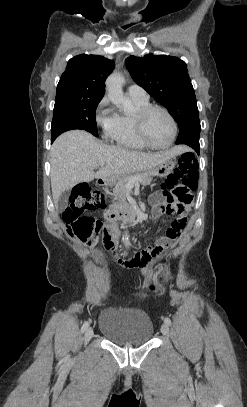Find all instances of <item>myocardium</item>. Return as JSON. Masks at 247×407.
Instances as JSON below:
<instances>
[{"mask_svg":"<svg viewBox=\"0 0 247 407\" xmlns=\"http://www.w3.org/2000/svg\"><path fill=\"white\" fill-rule=\"evenodd\" d=\"M155 110H159V111L163 112L164 114H166V116L170 119L172 126H173V133H172L171 139L166 145H163V146H157V145L152 144L148 140L146 133H145L146 118L152 111H155ZM134 126H135V131H136V134H137L139 140L146 147H148L150 149H154V150H164V149L171 147L178 134V123H177L175 117L167 108L160 106V105H148V106L138 110L134 116Z\"/></svg>","mask_w":247,"mask_h":407,"instance_id":"f54148a6","label":"myocardium"}]
</instances>
